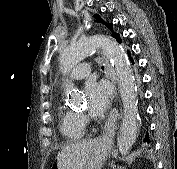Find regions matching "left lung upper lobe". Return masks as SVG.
<instances>
[{
	"instance_id": "5c2ea615",
	"label": "left lung upper lobe",
	"mask_w": 177,
	"mask_h": 169,
	"mask_svg": "<svg viewBox=\"0 0 177 169\" xmlns=\"http://www.w3.org/2000/svg\"><path fill=\"white\" fill-rule=\"evenodd\" d=\"M94 18L96 19V22H101L103 24H105L108 28H112V24H107L106 22H104L99 15L95 14L94 15ZM112 36L119 42H121V38H120V35L117 34V33H113Z\"/></svg>"
}]
</instances>
